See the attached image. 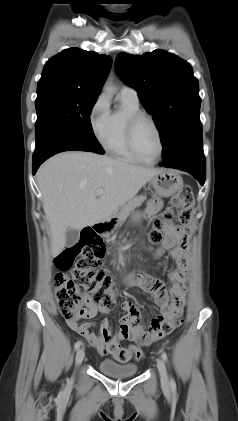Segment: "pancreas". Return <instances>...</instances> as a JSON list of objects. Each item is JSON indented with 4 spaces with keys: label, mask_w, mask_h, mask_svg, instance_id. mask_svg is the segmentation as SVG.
Returning a JSON list of instances; mask_svg holds the SVG:
<instances>
[{
    "label": "pancreas",
    "mask_w": 238,
    "mask_h": 421,
    "mask_svg": "<svg viewBox=\"0 0 238 421\" xmlns=\"http://www.w3.org/2000/svg\"><path fill=\"white\" fill-rule=\"evenodd\" d=\"M145 198V196H137L123 204L119 212L117 213V218H119V221L122 222L123 220H125L126 217L130 214V212H132L136 207L141 206Z\"/></svg>",
    "instance_id": "1"
}]
</instances>
